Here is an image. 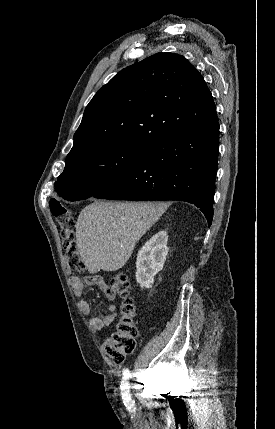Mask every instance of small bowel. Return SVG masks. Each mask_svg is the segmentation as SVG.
<instances>
[{"instance_id": "c3829d8e", "label": "small bowel", "mask_w": 275, "mask_h": 429, "mask_svg": "<svg viewBox=\"0 0 275 429\" xmlns=\"http://www.w3.org/2000/svg\"><path fill=\"white\" fill-rule=\"evenodd\" d=\"M70 285L73 289L74 294L80 298L78 306L80 311L89 315L92 311L91 304L83 298L84 286H97L103 290L108 299H115L116 295L108 286L103 277L100 275H89L86 277H79L77 275H71L69 277ZM117 308L114 304L108 306V312L97 314L89 319L90 326L96 331H102L110 327L116 318Z\"/></svg>"}]
</instances>
